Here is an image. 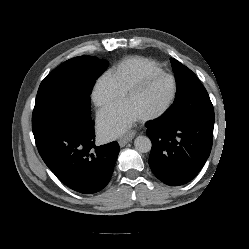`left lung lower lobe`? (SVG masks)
Returning <instances> with one entry per match:
<instances>
[{
	"mask_svg": "<svg viewBox=\"0 0 249 249\" xmlns=\"http://www.w3.org/2000/svg\"><path fill=\"white\" fill-rule=\"evenodd\" d=\"M146 127L152 141L149 165L154 175L171 186L191 181L210 155L214 115L178 123L158 118Z\"/></svg>",
	"mask_w": 249,
	"mask_h": 249,
	"instance_id": "1",
	"label": "left lung lower lobe"
}]
</instances>
